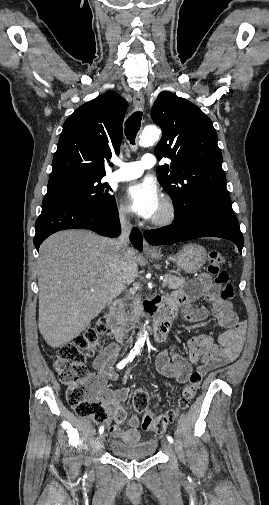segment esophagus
<instances>
[{
	"label": "esophagus",
	"mask_w": 269,
	"mask_h": 505,
	"mask_svg": "<svg viewBox=\"0 0 269 505\" xmlns=\"http://www.w3.org/2000/svg\"><path fill=\"white\" fill-rule=\"evenodd\" d=\"M145 99L142 93H135L133 96V105L136 110L142 111L144 109ZM156 249L151 246L145 239L143 240V251L145 253L154 252Z\"/></svg>",
	"instance_id": "obj_1"
}]
</instances>
